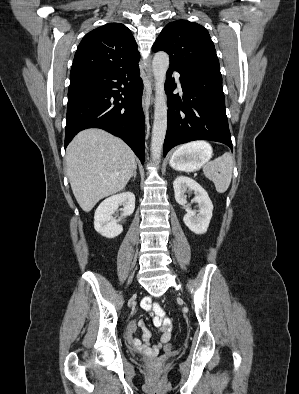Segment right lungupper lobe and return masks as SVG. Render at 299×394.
I'll use <instances>...</instances> for the list:
<instances>
[{
    "mask_svg": "<svg viewBox=\"0 0 299 394\" xmlns=\"http://www.w3.org/2000/svg\"><path fill=\"white\" fill-rule=\"evenodd\" d=\"M136 41L126 26L109 23L90 31L80 42L70 79L138 65Z\"/></svg>",
    "mask_w": 299,
    "mask_h": 394,
    "instance_id": "1",
    "label": "right lung upper lobe"
}]
</instances>
